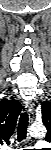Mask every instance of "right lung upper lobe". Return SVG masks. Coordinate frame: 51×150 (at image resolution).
Returning <instances> with one entry per match:
<instances>
[{"mask_svg":"<svg viewBox=\"0 0 51 150\" xmlns=\"http://www.w3.org/2000/svg\"><path fill=\"white\" fill-rule=\"evenodd\" d=\"M21 109V104L16 100L0 101V143L9 142Z\"/></svg>","mask_w":51,"mask_h":150,"instance_id":"obj_1","label":"right lung upper lobe"}]
</instances>
